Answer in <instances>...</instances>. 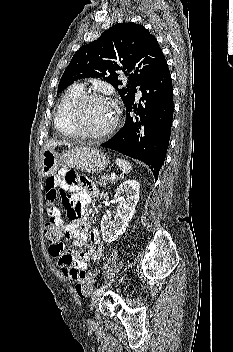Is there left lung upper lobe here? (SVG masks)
<instances>
[{
    "label": "left lung upper lobe",
    "instance_id": "obj_1",
    "mask_svg": "<svg viewBox=\"0 0 233 352\" xmlns=\"http://www.w3.org/2000/svg\"><path fill=\"white\" fill-rule=\"evenodd\" d=\"M165 64L157 39L149 30L132 22L117 23L76 51L61 77L57 95L77 79L103 77L127 107L135 99L136 87L156 76ZM120 72L129 75L127 88H119Z\"/></svg>",
    "mask_w": 233,
    "mask_h": 352
}]
</instances>
